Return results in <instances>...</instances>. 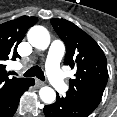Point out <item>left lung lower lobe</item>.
I'll return each mask as SVG.
<instances>
[{"label": "left lung lower lobe", "instance_id": "1", "mask_svg": "<svg viewBox=\"0 0 117 117\" xmlns=\"http://www.w3.org/2000/svg\"><path fill=\"white\" fill-rule=\"evenodd\" d=\"M92 111L78 104L72 98L60 97L57 94V100L51 105L44 107L46 117H88Z\"/></svg>", "mask_w": 117, "mask_h": 117}]
</instances>
